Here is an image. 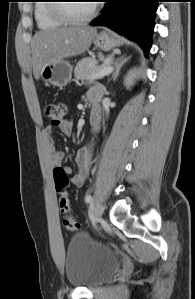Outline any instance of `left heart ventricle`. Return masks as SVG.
<instances>
[{
  "instance_id": "b2bd125f",
  "label": "left heart ventricle",
  "mask_w": 195,
  "mask_h": 299,
  "mask_svg": "<svg viewBox=\"0 0 195 299\" xmlns=\"http://www.w3.org/2000/svg\"><path fill=\"white\" fill-rule=\"evenodd\" d=\"M92 5L93 2L90 1H75L67 3L66 10L73 16L82 17L90 12Z\"/></svg>"
}]
</instances>
